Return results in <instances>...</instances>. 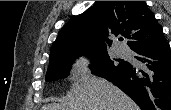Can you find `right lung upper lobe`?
Segmentation results:
<instances>
[{
    "instance_id": "obj_1",
    "label": "right lung upper lobe",
    "mask_w": 171,
    "mask_h": 110,
    "mask_svg": "<svg viewBox=\"0 0 171 110\" xmlns=\"http://www.w3.org/2000/svg\"><path fill=\"white\" fill-rule=\"evenodd\" d=\"M109 34L123 35L133 50L162 35V27L144 1H98L84 13L69 20L54 41L50 59L63 55L106 50Z\"/></svg>"
}]
</instances>
